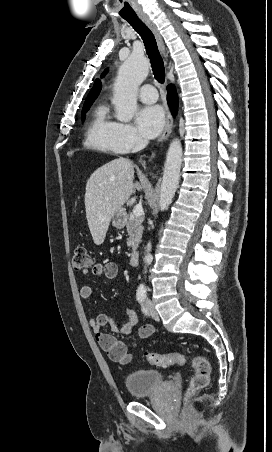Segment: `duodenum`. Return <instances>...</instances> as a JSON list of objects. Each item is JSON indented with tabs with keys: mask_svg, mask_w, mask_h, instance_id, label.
I'll return each instance as SVG.
<instances>
[{
	"mask_svg": "<svg viewBox=\"0 0 272 452\" xmlns=\"http://www.w3.org/2000/svg\"><path fill=\"white\" fill-rule=\"evenodd\" d=\"M139 255H140V252H139L138 249L132 250L131 253H130V257H129L130 258V263L131 264H136L138 262Z\"/></svg>",
	"mask_w": 272,
	"mask_h": 452,
	"instance_id": "obj_1",
	"label": "duodenum"
}]
</instances>
